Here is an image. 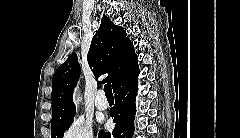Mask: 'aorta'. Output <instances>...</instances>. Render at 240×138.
<instances>
[{
	"label": "aorta",
	"instance_id": "aorta-1",
	"mask_svg": "<svg viewBox=\"0 0 240 138\" xmlns=\"http://www.w3.org/2000/svg\"><path fill=\"white\" fill-rule=\"evenodd\" d=\"M75 99L77 103L80 101V97L77 94L75 95Z\"/></svg>",
	"mask_w": 240,
	"mask_h": 138
}]
</instances>
